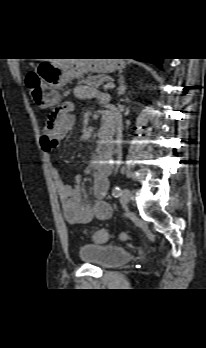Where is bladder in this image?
<instances>
[{
	"label": "bladder",
	"mask_w": 206,
	"mask_h": 348,
	"mask_svg": "<svg viewBox=\"0 0 206 348\" xmlns=\"http://www.w3.org/2000/svg\"><path fill=\"white\" fill-rule=\"evenodd\" d=\"M132 252L125 246L114 244H83L79 257L87 264L114 268L132 259Z\"/></svg>",
	"instance_id": "bladder-1"
}]
</instances>
